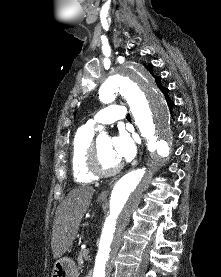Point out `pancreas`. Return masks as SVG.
Here are the masks:
<instances>
[{
	"mask_svg": "<svg viewBox=\"0 0 221 277\" xmlns=\"http://www.w3.org/2000/svg\"><path fill=\"white\" fill-rule=\"evenodd\" d=\"M88 253H89V251L87 249L81 250L79 252V256H78V260L77 261H78V264H79L80 267H82L83 259L87 258Z\"/></svg>",
	"mask_w": 221,
	"mask_h": 277,
	"instance_id": "cf45deb5",
	"label": "pancreas"
}]
</instances>
